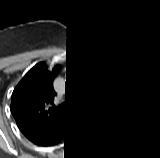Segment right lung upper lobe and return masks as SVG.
Segmentation results:
<instances>
[{"mask_svg":"<svg viewBox=\"0 0 160 158\" xmlns=\"http://www.w3.org/2000/svg\"><path fill=\"white\" fill-rule=\"evenodd\" d=\"M57 67L52 72L40 62L31 68L13 91L11 113L20 131L31 139L61 123L71 114L68 107L54 105L53 79Z\"/></svg>","mask_w":160,"mask_h":158,"instance_id":"obj_1","label":"right lung upper lobe"}]
</instances>
